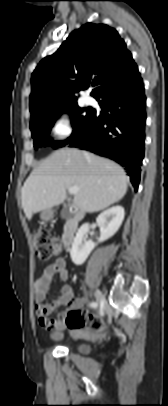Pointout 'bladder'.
<instances>
[{"instance_id": "bladder-1", "label": "bladder", "mask_w": 168, "mask_h": 406, "mask_svg": "<svg viewBox=\"0 0 168 406\" xmlns=\"http://www.w3.org/2000/svg\"><path fill=\"white\" fill-rule=\"evenodd\" d=\"M76 350L81 354H87L89 352V346L86 344H79L76 346Z\"/></svg>"}]
</instances>
